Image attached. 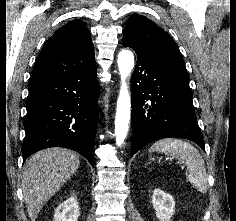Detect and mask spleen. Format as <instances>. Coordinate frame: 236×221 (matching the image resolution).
<instances>
[{"label": "spleen", "instance_id": "3e777b00", "mask_svg": "<svg viewBox=\"0 0 236 221\" xmlns=\"http://www.w3.org/2000/svg\"><path fill=\"white\" fill-rule=\"evenodd\" d=\"M150 152H164L177 158L187 166L186 177L201 193L208 187V179L204 160L200 153L188 142L175 138H165L156 141L149 149Z\"/></svg>", "mask_w": 236, "mask_h": 221}]
</instances>
